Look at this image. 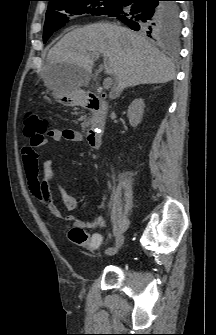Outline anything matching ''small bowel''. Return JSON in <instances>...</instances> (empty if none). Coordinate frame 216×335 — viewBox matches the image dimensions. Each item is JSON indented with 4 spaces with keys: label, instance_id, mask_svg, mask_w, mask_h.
<instances>
[{
    "label": "small bowel",
    "instance_id": "small-bowel-1",
    "mask_svg": "<svg viewBox=\"0 0 216 335\" xmlns=\"http://www.w3.org/2000/svg\"><path fill=\"white\" fill-rule=\"evenodd\" d=\"M83 139L82 134L73 129H51L47 132L44 141L37 147L38 149L43 148L49 140L56 142L66 140L71 142H81ZM39 153L37 149L32 147H24L22 150L23 166L25 176L27 178L28 186L31 193L41 202L42 206L54 217L63 219L68 225L80 228H104L105 219L102 216H96L90 221H83L77 219L73 215L63 216L62 210L56 206L51 200L48 192V187L54 185V174L52 169V161L46 159L42 165L43 172V183L39 180V165H38ZM64 203V209L66 211H73L76 209L78 202L66 193L63 189H57ZM92 237H99L101 235L95 233Z\"/></svg>",
    "mask_w": 216,
    "mask_h": 335
}]
</instances>
